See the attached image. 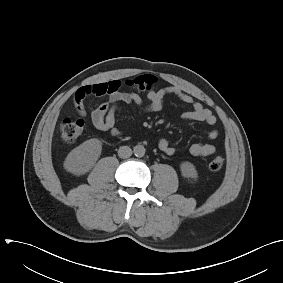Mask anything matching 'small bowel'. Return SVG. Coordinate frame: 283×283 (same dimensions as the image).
Returning <instances> with one entry per match:
<instances>
[{"label": "small bowel", "instance_id": "obj_1", "mask_svg": "<svg viewBox=\"0 0 283 283\" xmlns=\"http://www.w3.org/2000/svg\"><path fill=\"white\" fill-rule=\"evenodd\" d=\"M121 82L111 80L80 87L74 95V106L80 117L86 116L84 100L88 96H107V101L101 103L91 113L93 126L102 132H110L112 136H119L121 132L116 128V112L120 104L135 105L147 112L158 113L163 110L164 99L167 96H175L190 109L183 112L182 117L187 121L203 122L208 126L216 124V116L211 110L205 108L200 102L176 86H168L158 90H151L147 94L148 103L144 105L141 96L135 92H123L120 90ZM218 137V131L211 128L207 133V139L213 141ZM159 149L168 156L176 153V149L168 140L162 138L158 142ZM216 148L208 142H197L191 145L190 153L198 157H206L214 154Z\"/></svg>", "mask_w": 283, "mask_h": 283}]
</instances>
